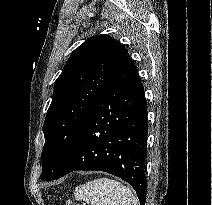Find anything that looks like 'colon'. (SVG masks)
<instances>
[{
  "instance_id": "colon-1",
  "label": "colon",
  "mask_w": 212,
  "mask_h": 205,
  "mask_svg": "<svg viewBox=\"0 0 212 205\" xmlns=\"http://www.w3.org/2000/svg\"><path fill=\"white\" fill-rule=\"evenodd\" d=\"M68 205H74L70 200L67 201Z\"/></svg>"
}]
</instances>
